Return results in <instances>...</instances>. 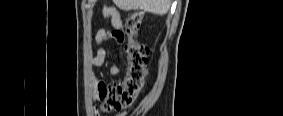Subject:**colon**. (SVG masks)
Returning <instances> with one entry per match:
<instances>
[{
	"label": "colon",
	"instance_id": "5ec220e1",
	"mask_svg": "<svg viewBox=\"0 0 283 116\" xmlns=\"http://www.w3.org/2000/svg\"><path fill=\"white\" fill-rule=\"evenodd\" d=\"M143 19V11L130 12L122 31L117 34L120 42L127 39L124 51L128 59V68L122 82L98 86V99L103 112H116L131 106L144 88L147 74V51L145 46L136 40V34Z\"/></svg>",
	"mask_w": 283,
	"mask_h": 116
}]
</instances>
